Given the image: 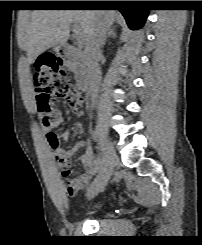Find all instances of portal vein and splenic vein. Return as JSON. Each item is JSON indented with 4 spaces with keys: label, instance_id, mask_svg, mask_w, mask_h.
Instances as JSON below:
<instances>
[{
    "label": "portal vein and splenic vein",
    "instance_id": "1",
    "mask_svg": "<svg viewBox=\"0 0 202 245\" xmlns=\"http://www.w3.org/2000/svg\"><path fill=\"white\" fill-rule=\"evenodd\" d=\"M73 31L75 33L76 41L79 45L84 43V33L81 31L78 25L74 24Z\"/></svg>",
    "mask_w": 202,
    "mask_h": 245
}]
</instances>
